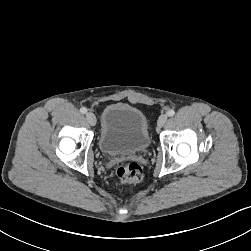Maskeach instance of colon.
Masks as SVG:
<instances>
[{"instance_id":"1","label":"colon","mask_w":251,"mask_h":251,"mask_svg":"<svg viewBox=\"0 0 251 251\" xmlns=\"http://www.w3.org/2000/svg\"><path fill=\"white\" fill-rule=\"evenodd\" d=\"M117 179L121 183L136 184L142 180L143 171L136 162L119 165L115 171Z\"/></svg>"}]
</instances>
